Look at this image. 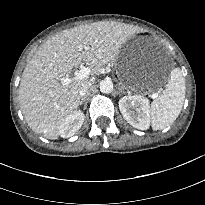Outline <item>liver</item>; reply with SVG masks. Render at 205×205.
I'll return each mask as SVG.
<instances>
[{
    "label": "liver",
    "instance_id": "6515ba94",
    "mask_svg": "<svg viewBox=\"0 0 205 205\" xmlns=\"http://www.w3.org/2000/svg\"><path fill=\"white\" fill-rule=\"evenodd\" d=\"M136 32L118 22L100 21L67 29L47 40L25 67L19 86V102L29 127L55 140L63 119L80 102L79 89L87 77L69 84L59 82L84 61L92 73L115 61L121 47ZM84 50H80V49Z\"/></svg>",
    "mask_w": 205,
    "mask_h": 205
}]
</instances>
